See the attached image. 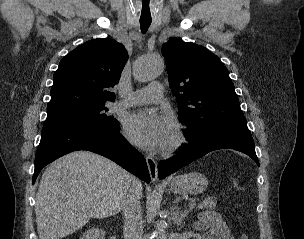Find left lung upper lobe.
<instances>
[{"label": "left lung upper lobe", "instance_id": "1", "mask_svg": "<svg viewBox=\"0 0 304 239\" xmlns=\"http://www.w3.org/2000/svg\"><path fill=\"white\" fill-rule=\"evenodd\" d=\"M162 53L189 141L222 131L249 132L228 70L216 55L178 39L165 43Z\"/></svg>", "mask_w": 304, "mask_h": 239}]
</instances>
